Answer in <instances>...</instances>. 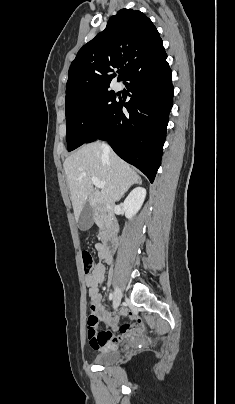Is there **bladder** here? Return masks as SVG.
Wrapping results in <instances>:
<instances>
[{
    "label": "bladder",
    "mask_w": 235,
    "mask_h": 404,
    "mask_svg": "<svg viewBox=\"0 0 235 404\" xmlns=\"http://www.w3.org/2000/svg\"><path fill=\"white\" fill-rule=\"evenodd\" d=\"M120 355L121 353L117 349L104 350L98 353L93 361L98 365H112L119 361Z\"/></svg>",
    "instance_id": "31cf9c89"
}]
</instances>
